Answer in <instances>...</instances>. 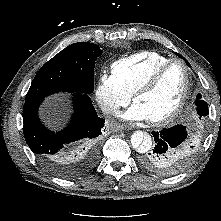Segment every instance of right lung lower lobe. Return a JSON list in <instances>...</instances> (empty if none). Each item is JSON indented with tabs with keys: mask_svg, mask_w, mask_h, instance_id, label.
Masks as SVG:
<instances>
[{
	"mask_svg": "<svg viewBox=\"0 0 221 221\" xmlns=\"http://www.w3.org/2000/svg\"><path fill=\"white\" fill-rule=\"evenodd\" d=\"M42 100L25 101L23 108V131L30 149L37 155L40 163L50 172L73 178L84 171V167L75 165L81 150L71 149L73 145L92 143L101 134L105 119L98 117L88 94L73 93L74 113L70 124L62 131L54 133L48 130L38 118V108ZM89 163L93 161V147L86 150Z\"/></svg>",
	"mask_w": 221,
	"mask_h": 221,
	"instance_id": "right-lung-lower-lobe-1",
	"label": "right lung lower lobe"
}]
</instances>
